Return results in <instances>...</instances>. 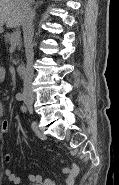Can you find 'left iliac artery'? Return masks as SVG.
Here are the masks:
<instances>
[{"mask_svg":"<svg viewBox=\"0 0 119 185\" xmlns=\"http://www.w3.org/2000/svg\"><path fill=\"white\" fill-rule=\"evenodd\" d=\"M21 109H22V111H25L26 110V108L24 106H22Z\"/></svg>","mask_w":119,"mask_h":185,"instance_id":"44dca946","label":"left iliac artery"}]
</instances>
